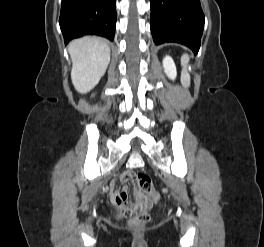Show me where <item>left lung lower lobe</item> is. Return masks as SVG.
Returning <instances> with one entry per match:
<instances>
[{"label": "left lung lower lobe", "instance_id": "1", "mask_svg": "<svg viewBox=\"0 0 264 247\" xmlns=\"http://www.w3.org/2000/svg\"><path fill=\"white\" fill-rule=\"evenodd\" d=\"M150 3V28L155 44L179 43L197 53L205 20L200 1L150 0Z\"/></svg>", "mask_w": 264, "mask_h": 247}]
</instances>
